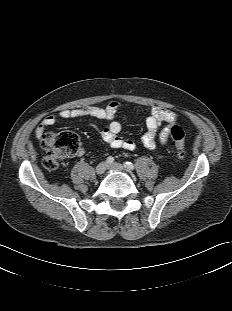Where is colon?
I'll use <instances>...</instances> for the list:
<instances>
[{"mask_svg": "<svg viewBox=\"0 0 232 311\" xmlns=\"http://www.w3.org/2000/svg\"><path fill=\"white\" fill-rule=\"evenodd\" d=\"M170 136L177 156L183 158L186 154L183 129L176 125L172 126ZM42 148L46 153L43 159L44 166L49 170H54L78 151L79 138L69 131L50 133L42 139Z\"/></svg>", "mask_w": 232, "mask_h": 311, "instance_id": "obj_1", "label": "colon"}]
</instances>
